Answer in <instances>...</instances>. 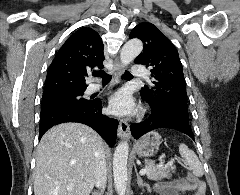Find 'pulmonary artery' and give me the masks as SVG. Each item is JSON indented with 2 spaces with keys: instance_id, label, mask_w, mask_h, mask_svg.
<instances>
[{
  "instance_id": "1",
  "label": "pulmonary artery",
  "mask_w": 240,
  "mask_h": 195,
  "mask_svg": "<svg viewBox=\"0 0 240 195\" xmlns=\"http://www.w3.org/2000/svg\"><path fill=\"white\" fill-rule=\"evenodd\" d=\"M146 65H135L133 67L132 73L135 74L136 76H147L148 72L147 71H143L146 70ZM134 75V76H135ZM105 86L103 84L100 83H92L87 87V93L88 94H92L95 93L101 89H103Z\"/></svg>"
}]
</instances>
